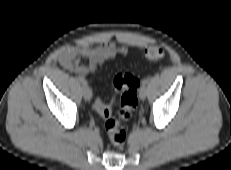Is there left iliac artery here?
Returning <instances> with one entry per match:
<instances>
[{
    "mask_svg": "<svg viewBox=\"0 0 231 170\" xmlns=\"http://www.w3.org/2000/svg\"><path fill=\"white\" fill-rule=\"evenodd\" d=\"M148 82H149V79H148V78L143 79V80H142V85H147Z\"/></svg>",
    "mask_w": 231,
    "mask_h": 170,
    "instance_id": "left-iliac-artery-1",
    "label": "left iliac artery"
}]
</instances>
